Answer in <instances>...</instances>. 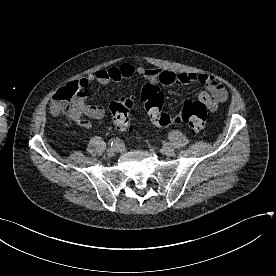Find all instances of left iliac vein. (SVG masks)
Wrapping results in <instances>:
<instances>
[{
  "label": "left iliac vein",
  "instance_id": "1",
  "mask_svg": "<svg viewBox=\"0 0 276 276\" xmlns=\"http://www.w3.org/2000/svg\"><path fill=\"white\" fill-rule=\"evenodd\" d=\"M162 152L168 157H173L175 155V151L173 148L171 149H163Z\"/></svg>",
  "mask_w": 276,
  "mask_h": 276
}]
</instances>
